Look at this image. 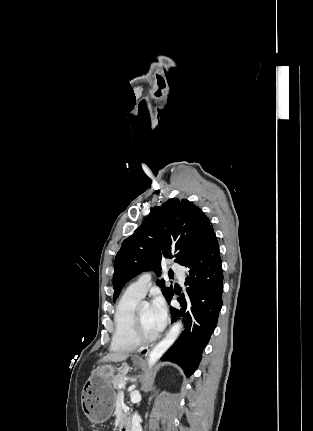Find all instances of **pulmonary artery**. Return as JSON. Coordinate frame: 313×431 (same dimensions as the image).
Instances as JSON below:
<instances>
[{"label":"pulmonary artery","mask_w":313,"mask_h":431,"mask_svg":"<svg viewBox=\"0 0 313 431\" xmlns=\"http://www.w3.org/2000/svg\"><path fill=\"white\" fill-rule=\"evenodd\" d=\"M172 270L177 275L180 283H184L185 269L179 264H173ZM151 286V274L145 273L141 275L136 281L131 283L125 290L129 295L143 298Z\"/></svg>","instance_id":"obj_1"}]
</instances>
